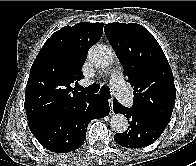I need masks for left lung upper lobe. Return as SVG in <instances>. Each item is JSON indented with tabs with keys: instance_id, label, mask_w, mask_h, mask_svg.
Returning <instances> with one entry per match:
<instances>
[{
	"instance_id": "left-lung-upper-lobe-1",
	"label": "left lung upper lobe",
	"mask_w": 196,
	"mask_h": 166,
	"mask_svg": "<svg viewBox=\"0 0 196 166\" xmlns=\"http://www.w3.org/2000/svg\"><path fill=\"white\" fill-rule=\"evenodd\" d=\"M104 31L134 87L136 112L169 123L175 103V84L163 50L143 26L106 24Z\"/></svg>"
}]
</instances>
